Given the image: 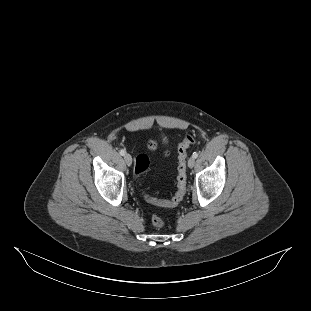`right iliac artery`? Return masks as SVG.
Returning a JSON list of instances; mask_svg holds the SVG:
<instances>
[{
	"instance_id": "1",
	"label": "right iliac artery",
	"mask_w": 311,
	"mask_h": 311,
	"mask_svg": "<svg viewBox=\"0 0 311 311\" xmlns=\"http://www.w3.org/2000/svg\"><path fill=\"white\" fill-rule=\"evenodd\" d=\"M119 153H120V155L124 156L126 152H125V150L121 149Z\"/></svg>"
}]
</instances>
